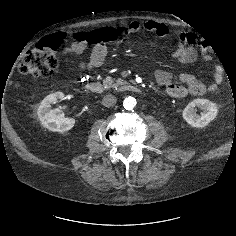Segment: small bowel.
<instances>
[{"label":"small bowel","instance_id":"obj_1","mask_svg":"<svg viewBox=\"0 0 236 236\" xmlns=\"http://www.w3.org/2000/svg\"><path fill=\"white\" fill-rule=\"evenodd\" d=\"M146 31L154 33L159 37H168L170 35L169 27L160 22L148 20L144 22L133 21L120 28L121 35H128L131 33ZM63 38L62 34H58ZM176 49L173 53V58L181 64L193 63L200 52L196 47L195 34L190 32L176 33ZM88 48V43L85 41L76 40L71 42L61 49V54L67 55H80ZM107 56V46L105 44L96 45L87 60L78 61L77 65L83 70H92L101 66ZM208 59L207 55H204ZM156 82L164 87L165 94L175 99H183L188 95H201L207 90L215 91L218 89L222 80V71L216 69L213 80L206 85L198 76L189 72H183L179 76L181 84L173 82L172 73L165 70H158L155 73Z\"/></svg>","mask_w":236,"mask_h":236}]
</instances>
